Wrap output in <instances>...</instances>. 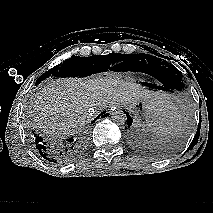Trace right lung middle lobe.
<instances>
[{
  "mask_svg": "<svg viewBox=\"0 0 213 213\" xmlns=\"http://www.w3.org/2000/svg\"><path fill=\"white\" fill-rule=\"evenodd\" d=\"M123 54L110 53L108 55H96L87 58L72 56L63 64L53 67L51 70L44 73L40 78L44 80L46 77H85L97 72H105L108 69L112 71L120 64L114 65L116 62L121 61ZM125 63V62H124ZM122 64V63H121ZM121 71V70H120Z\"/></svg>",
  "mask_w": 213,
  "mask_h": 213,
  "instance_id": "obj_1",
  "label": "right lung middle lobe"
}]
</instances>
